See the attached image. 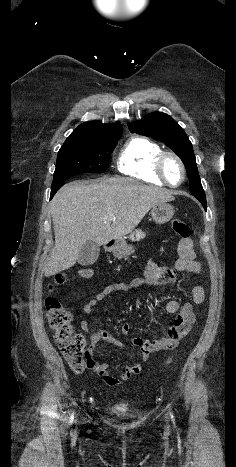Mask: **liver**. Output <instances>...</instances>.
<instances>
[{
    "label": "liver",
    "instance_id": "obj_1",
    "mask_svg": "<svg viewBox=\"0 0 236 467\" xmlns=\"http://www.w3.org/2000/svg\"><path fill=\"white\" fill-rule=\"evenodd\" d=\"M173 200L170 190L127 178L64 185L50 204L55 244L44 266L45 277L74 266L87 241L103 245L121 240L152 207Z\"/></svg>",
    "mask_w": 236,
    "mask_h": 467
}]
</instances>
